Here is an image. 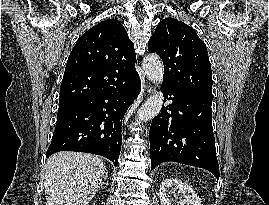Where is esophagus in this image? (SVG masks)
Returning a JSON list of instances; mask_svg holds the SVG:
<instances>
[{"label": "esophagus", "instance_id": "1", "mask_svg": "<svg viewBox=\"0 0 269 205\" xmlns=\"http://www.w3.org/2000/svg\"><path fill=\"white\" fill-rule=\"evenodd\" d=\"M153 88L152 87H150V86H147V91L149 92V93H151V92H153Z\"/></svg>", "mask_w": 269, "mask_h": 205}]
</instances>
